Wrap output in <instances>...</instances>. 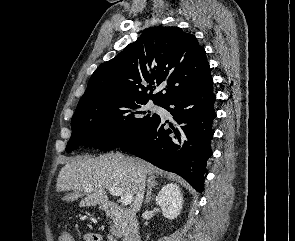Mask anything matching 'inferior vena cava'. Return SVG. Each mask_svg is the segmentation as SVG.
Instances as JSON below:
<instances>
[{"mask_svg": "<svg viewBox=\"0 0 295 241\" xmlns=\"http://www.w3.org/2000/svg\"><path fill=\"white\" fill-rule=\"evenodd\" d=\"M145 181H146V175L142 172H138L137 177V185H138V191L136 193V197L133 203L134 209L138 211L141 208L143 198H144V190H145Z\"/></svg>", "mask_w": 295, "mask_h": 241, "instance_id": "1", "label": "inferior vena cava"}]
</instances>
